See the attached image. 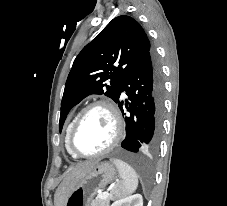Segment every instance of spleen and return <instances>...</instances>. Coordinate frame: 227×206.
Segmentation results:
<instances>
[{"instance_id": "3e777b00", "label": "spleen", "mask_w": 227, "mask_h": 206, "mask_svg": "<svg viewBox=\"0 0 227 206\" xmlns=\"http://www.w3.org/2000/svg\"><path fill=\"white\" fill-rule=\"evenodd\" d=\"M119 171L121 181L118 182L112 189V198L118 199L133 193L138 186V177L135 170L127 163L119 160H111Z\"/></svg>"}]
</instances>
